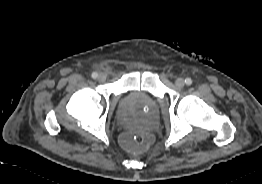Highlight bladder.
Masks as SVG:
<instances>
[{
  "label": "bladder",
  "mask_w": 262,
  "mask_h": 184,
  "mask_svg": "<svg viewBox=\"0 0 262 184\" xmlns=\"http://www.w3.org/2000/svg\"><path fill=\"white\" fill-rule=\"evenodd\" d=\"M118 119L120 124L126 128H131L135 125V123L130 118L125 117L122 114H119Z\"/></svg>",
  "instance_id": "bladder-1"
}]
</instances>
